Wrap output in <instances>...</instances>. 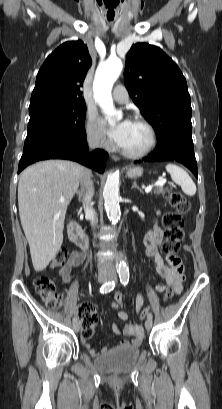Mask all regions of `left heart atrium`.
I'll list each match as a JSON object with an SVG mask.
<instances>
[{
	"mask_svg": "<svg viewBox=\"0 0 222 409\" xmlns=\"http://www.w3.org/2000/svg\"><path fill=\"white\" fill-rule=\"evenodd\" d=\"M129 123L130 121L124 120L120 124L107 129L110 138L119 146L123 141L124 134Z\"/></svg>",
	"mask_w": 222,
	"mask_h": 409,
	"instance_id": "obj_1",
	"label": "left heart atrium"
}]
</instances>
